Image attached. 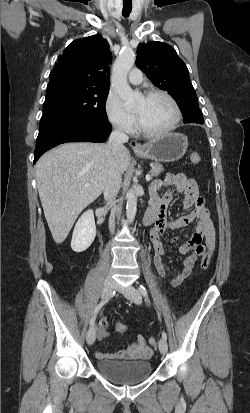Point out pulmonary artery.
I'll list each match as a JSON object with an SVG mask.
<instances>
[{
  "mask_svg": "<svg viewBox=\"0 0 250 413\" xmlns=\"http://www.w3.org/2000/svg\"><path fill=\"white\" fill-rule=\"evenodd\" d=\"M128 81L131 84L138 85L142 82V72L139 68H133L128 74Z\"/></svg>",
  "mask_w": 250,
  "mask_h": 413,
  "instance_id": "obj_1",
  "label": "pulmonary artery"
}]
</instances>
